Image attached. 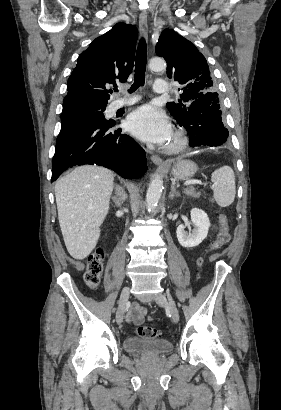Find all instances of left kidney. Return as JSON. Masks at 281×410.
Returning a JSON list of instances; mask_svg holds the SVG:
<instances>
[{
    "instance_id": "obj_1",
    "label": "left kidney",
    "mask_w": 281,
    "mask_h": 410,
    "mask_svg": "<svg viewBox=\"0 0 281 410\" xmlns=\"http://www.w3.org/2000/svg\"><path fill=\"white\" fill-rule=\"evenodd\" d=\"M191 220L194 225L192 233L185 231V225H179L176 233L179 243L185 248H192L198 246L208 234L210 221L207 214L198 208L191 210Z\"/></svg>"
}]
</instances>
